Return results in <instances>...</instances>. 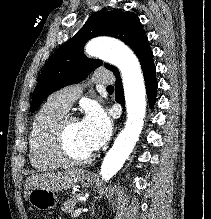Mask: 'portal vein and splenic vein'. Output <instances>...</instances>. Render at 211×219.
<instances>
[{
	"label": "portal vein and splenic vein",
	"mask_w": 211,
	"mask_h": 219,
	"mask_svg": "<svg viewBox=\"0 0 211 219\" xmlns=\"http://www.w3.org/2000/svg\"><path fill=\"white\" fill-rule=\"evenodd\" d=\"M82 208L76 209L73 214L71 215L73 218L78 217L82 213Z\"/></svg>",
	"instance_id": "1"
}]
</instances>
